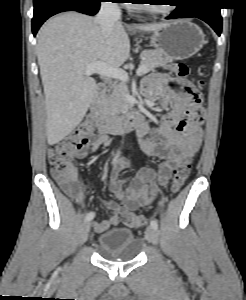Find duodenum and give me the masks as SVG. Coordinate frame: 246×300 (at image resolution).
<instances>
[{
	"instance_id": "duodenum-1",
	"label": "duodenum",
	"mask_w": 246,
	"mask_h": 300,
	"mask_svg": "<svg viewBox=\"0 0 246 300\" xmlns=\"http://www.w3.org/2000/svg\"><path fill=\"white\" fill-rule=\"evenodd\" d=\"M105 84L99 85L90 106L98 131L102 134H121L127 131L137 130L143 123V116L137 110H126L116 117L107 115L102 108L101 97Z\"/></svg>"
}]
</instances>
